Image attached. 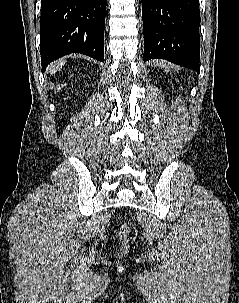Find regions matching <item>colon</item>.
<instances>
[{"label": "colon", "instance_id": "obj_1", "mask_svg": "<svg viewBox=\"0 0 239 303\" xmlns=\"http://www.w3.org/2000/svg\"><path fill=\"white\" fill-rule=\"evenodd\" d=\"M130 228L127 224L121 225L118 231V237L122 242H126L129 236Z\"/></svg>", "mask_w": 239, "mask_h": 303}]
</instances>
